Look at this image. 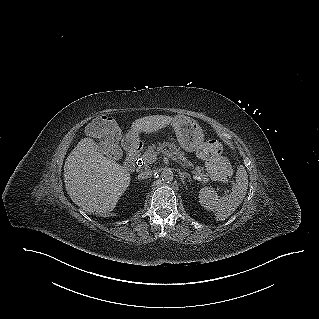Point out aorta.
<instances>
[{
  "mask_svg": "<svg viewBox=\"0 0 319 319\" xmlns=\"http://www.w3.org/2000/svg\"><path fill=\"white\" fill-rule=\"evenodd\" d=\"M160 176L162 181L168 182V183L171 182L174 178L173 172L168 168L163 169Z\"/></svg>",
  "mask_w": 319,
  "mask_h": 319,
  "instance_id": "obj_1",
  "label": "aorta"
}]
</instances>
